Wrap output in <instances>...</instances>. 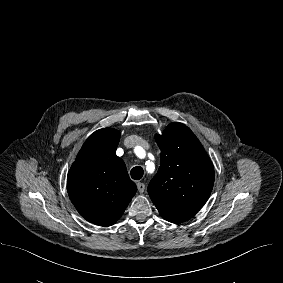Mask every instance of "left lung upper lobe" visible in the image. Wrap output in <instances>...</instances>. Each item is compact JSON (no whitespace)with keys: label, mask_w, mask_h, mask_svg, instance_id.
Listing matches in <instances>:
<instances>
[{"label":"left lung upper lobe","mask_w":283,"mask_h":283,"mask_svg":"<svg viewBox=\"0 0 283 283\" xmlns=\"http://www.w3.org/2000/svg\"><path fill=\"white\" fill-rule=\"evenodd\" d=\"M161 164L148 185L160 215L178 224L204 206L214 185V167L202 144L184 124H169L155 136Z\"/></svg>","instance_id":"left-lung-upper-lobe-1"}]
</instances>
